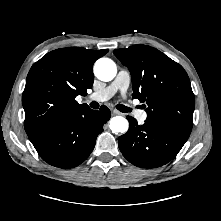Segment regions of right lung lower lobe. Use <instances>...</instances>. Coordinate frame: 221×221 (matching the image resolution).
I'll use <instances>...</instances> for the list:
<instances>
[{"instance_id": "1", "label": "right lung lower lobe", "mask_w": 221, "mask_h": 221, "mask_svg": "<svg viewBox=\"0 0 221 221\" xmlns=\"http://www.w3.org/2000/svg\"><path fill=\"white\" fill-rule=\"evenodd\" d=\"M110 116L106 106L100 111L85 107L59 121L34 128L27 135L45 162L59 168H73L90 155Z\"/></svg>"}]
</instances>
